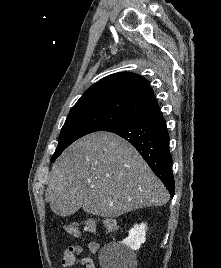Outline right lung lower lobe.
Returning <instances> with one entry per match:
<instances>
[{"mask_svg":"<svg viewBox=\"0 0 221 268\" xmlns=\"http://www.w3.org/2000/svg\"><path fill=\"white\" fill-rule=\"evenodd\" d=\"M105 131L116 133L129 141L173 197L175 185L172 174V156L169 150V134L160 110L123 121Z\"/></svg>","mask_w":221,"mask_h":268,"instance_id":"98d812e1","label":"right lung lower lobe"}]
</instances>
